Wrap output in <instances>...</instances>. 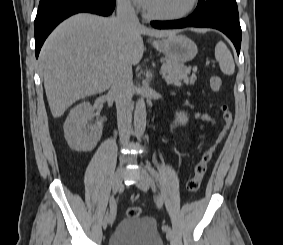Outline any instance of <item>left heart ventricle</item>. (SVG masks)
Masks as SVG:
<instances>
[{
	"label": "left heart ventricle",
	"mask_w": 283,
	"mask_h": 245,
	"mask_svg": "<svg viewBox=\"0 0 283 245\" xmlns=\"http://www.w3.org/2000/svg\"><path fill=\"white\" fill-rule=\"evenodd\" d=\"M190 0H150L145 7L156 14H176L189 5Z\"/></svg>",
	"instance_id": "1"
}]
</instances>
